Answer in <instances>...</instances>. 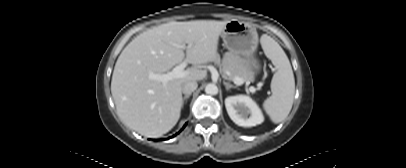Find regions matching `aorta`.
Here are the masks:
<instances>
[{
    "instance_id": "obj_1",
    "label": "aorta",
    "mask_w": 406,
    "mask_h": 168,
    "mask_svg": "<svg viewBox=\"0 0 406 168\" xmlns=\"http://www.w3.org/2000/svg\"><path fill=\"white\" fill-rule=\"evenodd\" d=\"M205 92L210 95H216L218 93V87L213 83H209L205 87Z\"/></svg>"
}]
</instances>
